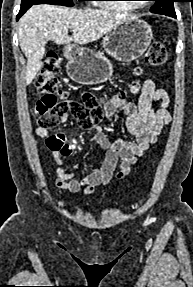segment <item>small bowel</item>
Listing matches in <instances>:
<instances>
[{"mask_svg": "<svg viewBox=\"0 0 193 287\" xmlns=\"http://www.w3.org/2000/svg\"><path fill=\"white\" fill-rule=\"evenodd\" d=\"M168 101L166 91L157 88L153 79L144 81L137 103L125 100L120 94H114L107 98L103 105L105 117H112L117 111H121L126 116V129L135 136L136 140L111 139L101 126H95L92 136L83 141L99 145L105 150V155L101 162L80 180L74 179V172L81 167L66 162L74 149L78 147V142L69 138L70 132H50L47 129H36V135L47 137L45 147L52 152L56 164V185L71 193L80 191L91 193L94 188L108 184L114 177L122 179L128 176L132 166L156 142L163 127L169 123L170 115L166 109ZM157 103L161 105L160 108H155ZM68 119L67 112L60 117L61 123H66ZM50 133L51 136H49ZM117 166L119 169L115 172Z\"/></svg>", "mask_w": 193, "mask_h": 287, "instance_id": "1", "label": "small bowel"}]
</instances>
